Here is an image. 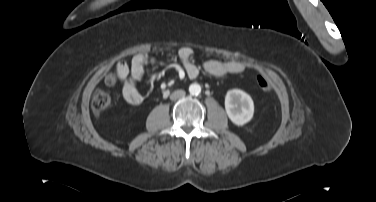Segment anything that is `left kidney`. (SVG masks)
I'll return each instance as SVG.
<instances>
[{
    "mask_svg": "<svg viewBox=\"0 0 376 202\" xmlns=\"http://www.w3.org/2000/svg\"><path fill=\"white\" fill-rule=\"evenodd\" d=\"M225 109L229 119L234 124L242 126L252 119L254 103L246 92L232 89L225 96Z\"/></svg>",
    "mask_w": 376,
    "mask_h": 202,
    "instance_id": "left-kidney-1",
    "label": "left kidney"
}]
</instances>
